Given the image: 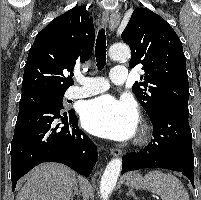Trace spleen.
Returning a JSON list of instances; mask_svg holds the SVG:
<instances>
[{
  "label": "spleen",
  "instance_id": "1",
  "mask_svg": "<svg viewBox=\"0 0 201 200\" xmlns=\"http://www.w3.org/2000/svg\"><path fill=\"white\" fill-rule=\"evenodd\" d=\"M148 190L158 194L162 200H189L187 190L181 181L170 173L160 170L148 172L144 177Z\"/></svg>",
  "mask_w": 201,
  "mask_h": 200
}]
</instances>
